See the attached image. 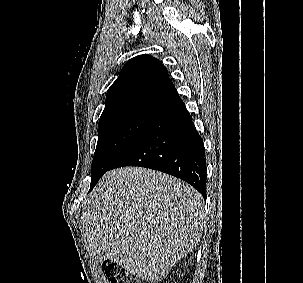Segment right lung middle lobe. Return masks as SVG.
Segmentation results:
<instances>
[{"label":"right lung middle lobe","instance_id":"1","mask_svg":"<svg viewBox=\"0 0 303 283\" xmlns=\"http://www.w3.org/2000/svg\"><path fill=\"white\" fill-rule=\"evenodd\" d=\"M155 118L145 114H128L99 121L98 142L91 166L90 190Z\"/></svg>","mask_w":303,"mask_h":283}]
</instances>
